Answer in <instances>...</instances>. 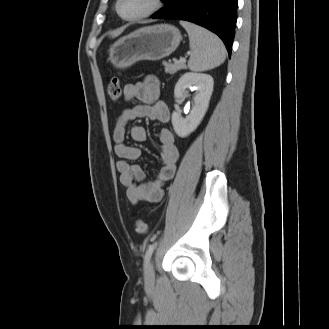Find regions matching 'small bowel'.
<instances>
[{
  "label": "small bowel",
  "instance_id": "c3829d8e",
  "mask_svg": "<svg viewBox=\"0 0 329 329\" xmlns=\"http://www.w3.org/2000/svg\"><path fill=\"white\" fill-rule=\"evenodd\" d=\"M125 102L138 101L130 108L124 109L116 119L113 128L114 151L119 159L116 162L120 174V181L126 188V195L132 204L139 201L158 202L163 197L164 184L173 178L179 157L174 134L167 128L159 131L161 148L160 170L156 178L145 182L143 169L132 163L141 156L139 148L125 143L126 127L129 122L137 118L166 123L170 119L167 104L160 98V83L154 76L135 84H127L123 89ZM129 136L134 142L146 140V130L143 126L134 125L129 129Z\"/></svg>",
  "mask_w": 329,
  "mask_h": 329
}]
</instances>
